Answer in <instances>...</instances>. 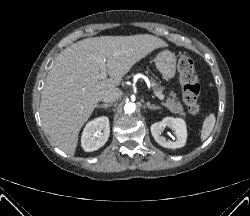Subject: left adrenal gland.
Wrapping results in <instances>:
<instances>
[{"label":"left adrenal gland","mask_w":250,"mask_h":216,"mask_svg":"<svg viewBox=\"0 0 250 216\" xmlns=\"http://www.w3.org/2000/svg\"><path fill=\"white\" fill-rule=\"evenodd\" d=\"M147 108L151 109V110H156V109H160L161 107L156 106L154 104H150L149 102L146 103Z\"/></svg>","instance_id":"1"}]
</instances>
